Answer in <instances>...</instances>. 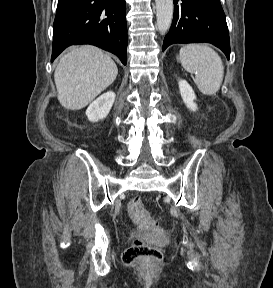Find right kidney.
Wrapping results in <instances>:
<instances>
[{
	"label": "right kidney",
	"instance_id": "1",
	"mask_svg": "<svg viewBox=\"0 0 273 288\" xmlns=\"http://www.w3.org/2000/svg\"><path fill=\"white\" fill-rule=\"evenodd\" d=\"M115 101V93L108 91L93 101L86 110V116L91 122H97L107 117Z\"/></svg>",
	"mask_w": 273,
	"mask_h": 288
}]
</instances>
